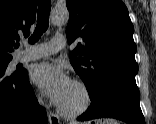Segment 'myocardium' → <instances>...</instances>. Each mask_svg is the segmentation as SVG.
<instances>
[{
	"label": "myocardium",
	"instance_id": "myocardium-1",
	"mask_svg": "<svg viewBox=\"0 0 156 124\" xmlns=\"http://www.w3.org/2000/svg\"><path fill=\"white\" fill-rule=\"evenodd\" d=\"M72 83L74 85H76L83 93L84 102L79 108H77L76 110H73V111H68V110L62 108L60 105H57L58 113L62 117L67 118V119H75V118L81 117L82 115L86 114L91 109V107L93 105V101H94L92 92L86 83H84L83 81L78 80V79H74L72 81Z\"/></svg>",
	"mask_w": 156,
	"mask_h": 124
}]
</instances>
